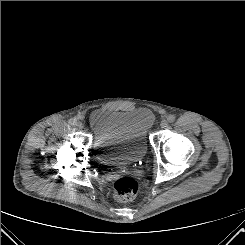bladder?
Returning a JSON list of instances; mask_svg holds the SVG:
<instances>
[{"label":"bladder","instance_id":"1","mask_svg":"<svg viewBox=\"0 0 245 245\" xmlns=\"http://www.w3.org/2000/svg\"><path fill=\"white\" fill-rule=\"evenodd\" d=\"M154 122L147 107L92 111L88 125L99 161L111 167L137 163L147 152Z\"/></svg>","mask_w":245,"mask_h":245}]
</instances>
